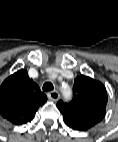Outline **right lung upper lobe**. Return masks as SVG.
<instances>
[{
  "label": "right lung upper lobe",
  "instance_id": "obj_1",
  "mask_svg": "<svg viewBox=\"0 0 118 142\" xmlns=\"http://www.w3.org/2000/svg\"><path fill=\"white\" fill-rule=\"evenodd\" d=\"M46 101L47 96L23 69L9 76L0 86V114L15 125L30 122Z\"/></svg>",
  "mask_w": 118,
  "mask_h": 142
}]
</instances>
